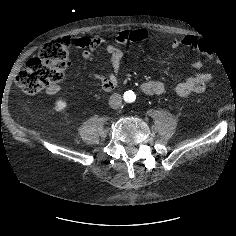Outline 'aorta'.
<instances>
[{
	"mask_svg": "<svg viewBox=\"0 0 236 236\" xmlns=\"http://www.w3.org/2000/svg\"><path fill=\"white\" fill-rule=\"evenodd\" d=\"M124 99L128 102H132L134 100V94L132 91H127L124 93Z\"/></svg>",
	"mask_w": 236,
	"mask_h": 236,
	"instance_id": "762f6f07",
	"label": "aorta"
}]
</instances>
